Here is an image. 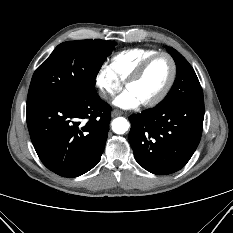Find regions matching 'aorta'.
<instances>
[{"label":"aorta","instance_id":"aorta-1","mask_svg":"<svg viewBox=\"0 0 233 233\" xmlns=\"http://www.w3.org/2000/svg\"><path fill=\"white\" fill-rule=\"evenodd\" d=\"M129 126V122L123 117H117L112 121V130L116 134H124Z\"/></svg>","mask_w":233,"mask_h":233}]
</instances>
